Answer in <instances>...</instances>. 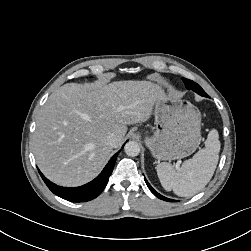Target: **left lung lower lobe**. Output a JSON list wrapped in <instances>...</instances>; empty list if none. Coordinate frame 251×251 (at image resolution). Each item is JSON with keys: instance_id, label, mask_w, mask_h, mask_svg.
Wrapping results in <instances>:
<instances>
[{"instance_id": "1", "label": "left lung lower lobe", "mask_w": 251, "mask_h": 251, "mask_svg": "<svg viewBox=\"0 0 251 251\" xmlns=\"http://www.w3.org/2000/svg\"><path fill=\"white\" fill-rule=\"evenodd\" d=\"M145 182H146L148 188L150 189V191H151L155 196H157L158 198H160V199H162V200H164V201H167V202H173V201H174V200H172V199H168V198H166V197L160 195L159 193H157V192L151 187V185L148 183V181H147L146 179H145Z\"/></svg>"}]
</instances>
